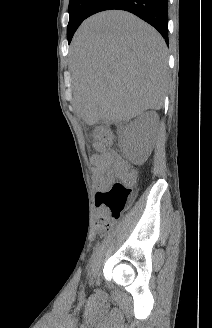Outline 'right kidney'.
<instances>
[{"mask_svg":"<svg viewBox=\"0 0 212 328\" xmlns=\"http://www.w3.org/2000/svg\"><path fill=\"white\" fill-rule=\"evenodd\" d=\"M158 124V114L150 111L141 114L126 126L125 131L129 133V143L133 154H137L146 146L150 136L156 132Z\"/></svg>","mask_w":212,"mask_h":328,"instance_id":"ca27d5eb","label":"right kidney"}]
</instances>
